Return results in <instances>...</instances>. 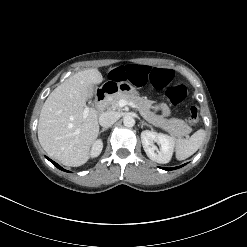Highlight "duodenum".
<instances>
[{"label": "duodenum", "mask_w": 247, "mask_h": 247, "mask_svg": "<svg viewBox=\"0 0 247 247\" xmlns=\"http://www.w3.org/2000/svg\"><path fill=\"white\" fill-rule=\"evenodd\" d=\"M117 91L116 86L114 85H105L101 89L98 90L96 95V105L98 108L102 107V104L105 100V98L111 94Z\"/></svg>", "instance_id": "410a0bca"}]
</instances>
